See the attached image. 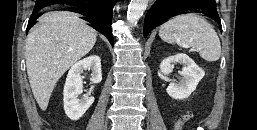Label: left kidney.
Wrapping results in <instances>:
<instances>
[{
	"mask_svg": "<svg viewBox=\"0 0 257 130\" xmlns=\"http://www.w3.org/2000/svg\"><path fill=\"white\" fill-rule=\"evenodd\" d=\"M175 63L184 65L183 70L180 72L182 80L179 83L171 82L166 91L174 99H185L196 89L205 72L186 54H177L162 60L160 64L162 74L165 76L170 75L173 72Z\"/></svg>",
	"mask_w": 257,
	"mask_h": 130,
	"instance_id": "obj_1",
	"label": "left kidney"
}]
</instances>
